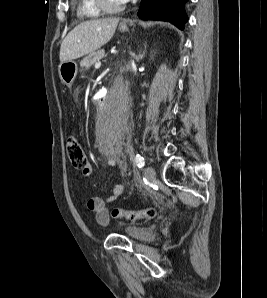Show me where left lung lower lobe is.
Returning a JSON list of instances; mask_svg holds the SVG:
<instances>
[{"label":"left lung lower lobe","mask_w":267,"mask_h":298,"mask_svg":"<svg viewBox=\"0 0 267 298\" xmlns=\"http://www.w3.org/2000/svg\"><path fill=\"white\" fill-rule=\"evenodd\" d=\"M188 0H142L138 16L142 19L170 21L180 29L187 21L184 4Z\"/></svg>","instance_id":"obj_1"}]
</instances>
